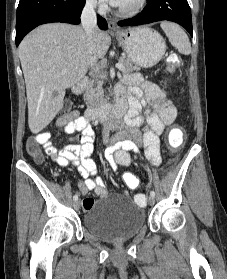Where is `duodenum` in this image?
<instances>
[{"mask_svg":"<svg viewBox=\"0 0 227 279\" xmlns=\"http://www.w3.org/2000/svg\"><path fill=\"white\" fill-rule=\"evenodd\" d=\"M88 82H89L88 79H82L73 88V93L81 94L85 90ZM126 111H127L126 103L122 100H118L116 104L113 106L102 105L98 108L88 111L87 114L93 120L102 121L108 118L122 119Z\"/></svg>","mask_w":227,"mask_h":279,"instance_id":"duodenum-1","label":"duodenum"}]
</instances>
